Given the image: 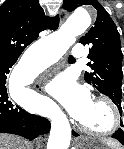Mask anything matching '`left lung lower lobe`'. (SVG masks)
Returning a JSON list of instances; mask_svg holds the SVG:
<instances>
[{"instance_id":"0a47b994","label":"left lung lower lobe","mask_w":124,"mask_h":149,"mask_svg":"<svg viewBox=\"0 0 124 149\" xmlns=\"http://www.w3.org/2000/svg\"><path fill=\"white\" fill-rule=\"evenodd\" d=\"M74 136H76V133H73ZM113 138L117 139L120 143L124 145V131L120 128L114 135H112Z\"/></svg>"}]
</instances>
